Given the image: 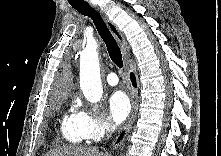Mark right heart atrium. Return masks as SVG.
<instances>
[{
  "mask_svg": "<svg viewBox=\"0 0 221 156\" xmlns=\"http://www.w3.org/2000/svg\"><path fill=\"white\" fill-rule=\"evenodd\" d=\"M75 114L80 133L85 141L96 142L112 130V124L106 116L99 114L79 103Z\"/></svg>",
  "mask_w": 221,
  "mask_h": 156,
  "instance_id": "1",
  "label": "right heart atrium"
}]
</instances>
